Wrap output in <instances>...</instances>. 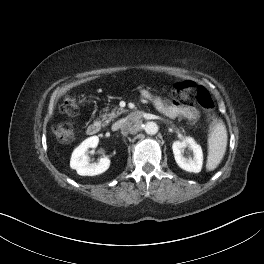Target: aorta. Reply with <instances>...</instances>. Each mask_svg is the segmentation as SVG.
Wrapping results in <instances>:
<instances>
[{
	"mask_svg": "<svg viewBox=\"0 0 264 264\" xmlns=\"http://www.w3.org/2000/svg\"><path fill=\"white\" fill-rule=\"evenodd\" d=\"M145 132L149 135L156 134L158 132V125L155 122L146 123Z\"/></svg>",
	"mask_w": 264,
	"mask_h": 264,
	"instance_id": "762f6f07",
	"label": "aorta"
}]
</instances>
